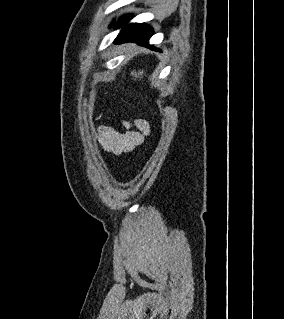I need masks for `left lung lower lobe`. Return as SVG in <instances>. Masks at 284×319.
Wrapping results in <instances>:
<instances>
[{
    "mask_svg": "<svg viewBox=\"0 0 284 319\" xmlns=\"http://www.w3.org/2000/svg\"><path fill=\"white\" fill-rule=\"evenodd\" d=\"M131 16L126 15L121 18L116 24L115 27L124 26V28L120 31L119 35L114 40L115 44H120L124 42H136L138 44L147 46L153 50L160 51L153 46L148 44V40L153 34V29L151 26L147 24H127L126 23L130 20ZM114 24L112 23L111 26Z\"/></svg>",
    "mask_w": 284,
    "mask_h": 319,
    "instance_id": "obj_1",
    "label": "left lung lower lobe"
}]
</instances>
